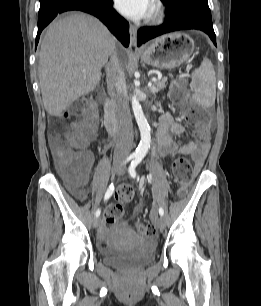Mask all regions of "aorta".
<instances>
[{"mask_svg":"<svg viewBox=\"0 0 261 306\" xmlns=\"http://www.w3.org/2000/svg\"><path fill=\"white\" fill-rule=\"evenodd\" d=\"M131 104L141 135L140 144L136 149V155L143 157L146 155L150 147V142H151L150 127L147 122V119L144 116L142 107L135 95L132 96Z\"/></svg>","mask_w":261,"mask_h":306,"instance_id":"aorta-1","label":"aorta"}]
</instances>
